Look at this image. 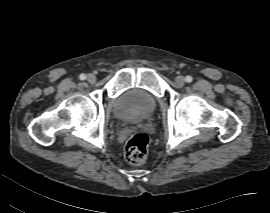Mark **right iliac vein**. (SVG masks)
Wrapping results in <instances>:
<instances>
[{"label":"right iliac vein","mask_w":270,"mask_h":213,"mask_svg":"<svg viewBox=\"0 0 270 213\" xmlns=\"http://www.w3.org/2000/svg\"><path fill=\"white\" fill-rule=\"evenodd\" d=\"M87 81H88L90 84L95 83V82H96V77H95V75H93V74H88V76H87Z\"/></svg>","instance_id":"63e3f726"}]
</instances>
